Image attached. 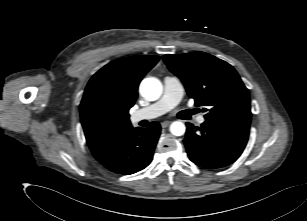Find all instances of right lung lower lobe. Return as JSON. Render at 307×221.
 I'll return each instance as SVG.
<instances>
[{
  "instance_id": "98d812e1",
  "label": "right lung lower lobe",
  "mask_w": 307,
  "mask_h": 221,
  "mask_svg": "<svg viewBox=\"0 0 307 221\" xmlns=\"http://www.w3.org/2000/svg\"><path fill=\"white\" fill-rule=\"evenodd\" d=\"M158 122L149 128H131L93 156L108 170L117 174H133L152 161L153 151L160 135Z\"/></svg>"
}]
</instances>
